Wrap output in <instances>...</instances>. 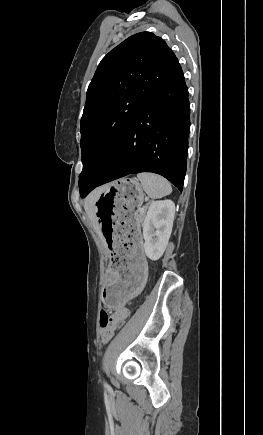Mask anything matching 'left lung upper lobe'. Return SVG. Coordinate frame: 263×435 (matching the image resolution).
<instances>
[{
	"instance_id": "5c2ea615",
	"label": "left lung upper lobe",
	"mask_w": 263,
	"mask_h": 435,
	"mask_svg": "<svg viewBox=\"0 0 263 435\" xmlns=\"http://www.w3.org/2000/svg\"><path fill=\"white\" fill-rule=\"evenodd\" d=\"M179 66L165 41L151 32L130 36L102 59L81 118V197L106 170L133 120Z\"/></svg>"
}]
</instances>
